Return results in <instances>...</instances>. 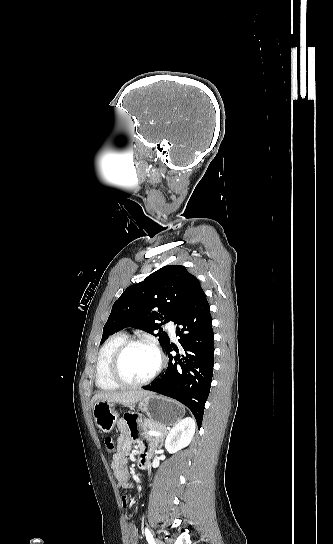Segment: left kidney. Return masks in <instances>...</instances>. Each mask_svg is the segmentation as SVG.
Returning a JSON list of instances; mask_svg holds the SVG:
<instances>
[{
    "label": "left kidney",
    "instance_id": "left-kidney-1",
    "mask_svg": "<svg viewBox=\"0 0 333 544\" xmlns=\"http://www.w3.org/2000/svg\"><path fill=\"white\" fill-rule=\"evenodd\" d=\"M194 433V420L190 417L181 420L168 433L165 441V448L169 453H176L190 444Z\"/></svg>",
    "mask_w": 333,
    "mask_h": 544
}]
</instances>
